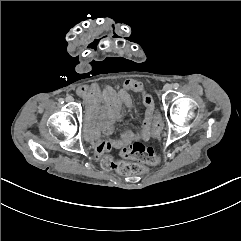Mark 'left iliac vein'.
Instances as JSON below:
<instances>
[{
    "label": "left iliac vein",
    "instance_id": "1",
    "mask_svg": "<svg viewBox=\"0 0 241 241\" xmlns=\"http://www.w3.org/2000/svg\"><path fill=\"white\" fill-rule=\"evenodd\" d=\"M172 89V85L171 84H165L164 85V87H163V90L165 91V92H167V91H170Z\"/></svg>",
    "mask_w": 241,
    "mask_h": 241
}]
</instances>
